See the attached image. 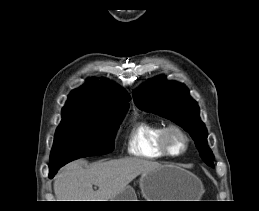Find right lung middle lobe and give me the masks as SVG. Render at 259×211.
Masks as SVG:
<instances>
[{
    "label": "right lung middle lobe",
    "instance_id": "obj_1",
    "mask_svg": "<svg viewBox=\"0 0 259 211\" xmlns=\"http://www.w3.org/2000/svg\"><path fill=\"white\" fill-rule=\"evenodd\" d=\"M125 113H87L62 115L50 156V169L86 156L114 150V136Z\"/></svg>",
    "mask_w": 259,
    "mask_h": 211
}]
</instances>
